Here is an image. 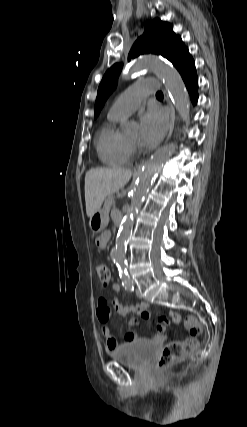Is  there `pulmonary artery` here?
Returning a JSON list of instances; mask_svg holds the SVG:
<instances>
[{"label": "pulmonary artery", "mask_w": 247, "mask_h": 427, "mask_svg": "<svg viewBox=\"0 0 247 427\" xmlns=\"http://www.w3.org/2000/svg\"><path fill=\"white\" fill-rule=\"evenodd\" d=\"M157 89L155 82L146 81L134 84L123 91L109 109L108 116L120 118L134 112L143 99Z\"/></svg>", "instance_id": "1"}]
</instances>
